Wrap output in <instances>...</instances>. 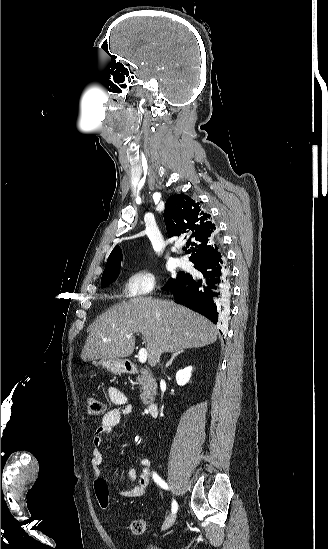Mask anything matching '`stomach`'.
I'll use <instances>...</instances> for the list:
<instances>
[{"label":"stomach","instance_id":"stomach-1","mask_svg":"<svg viewBox=\"0 0 328 549\" xmlns=\"http://www.w3.org/2000/svg\"><path fill=\"white\" fill-rule=\"evenodd\" d=\"M93 365H101L103 369L112 373V375H122V373H130L131 363L128 359H101V361H93Z\"/></svg>","mask_w":328,"mask_h":549}]
</instances>
